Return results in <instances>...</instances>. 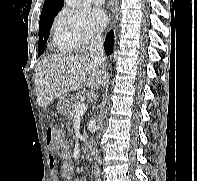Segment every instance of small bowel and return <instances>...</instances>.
Instances as JSON below:
<instances>
[{"instance_id": "1", "label": "small bowel", "mask_w": 197, "mask_h": 181, "mask_svg": "<svg viewBox=\"0 0 197 181\" xmlns=\"http://www.w3.org/2000/svg\"><path fill=\"white\" fill-rule=\"evenodd\" d=\"M59 154L63 163L61 165V177L68 181L71 180L74 176V164L70 160V149L67 145H63L61 150L58 153L51 152L49 155V164L52 169V181H58V175L56 173V168L58 165L56 155Z\"/></svg>"}]
</instances>
